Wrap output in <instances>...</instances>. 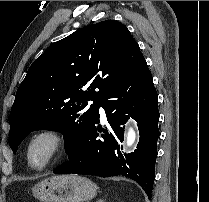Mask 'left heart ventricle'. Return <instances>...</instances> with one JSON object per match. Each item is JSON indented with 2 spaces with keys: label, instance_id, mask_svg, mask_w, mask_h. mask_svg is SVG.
Returning a JSON list of instances; mask_svg holds the SVG:
<instances>
[{
  "label": "left heart ventricle",
  "instance_id": "obj_1",
  "mask_svg": "<svg viewBox=\"0 0 209 202\" xmlns=\"http://www.w3.org/2000/svg\"><path fill=\"white\" fill-rule=\"evenodd\" d=\"M47 152V144L46 142H39L34 145L32 149V157L36 164H40L45 159Z\"/></svg>",
  "mask_w": 209,
  "mask_h": 202
}]
</instances>
